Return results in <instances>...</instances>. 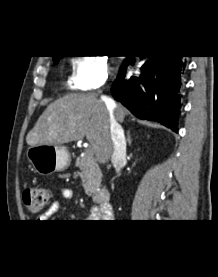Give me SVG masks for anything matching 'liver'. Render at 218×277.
I'll use <instances>...</instances> for the list:
<instances>
[{"instance_id":"1","label":"liver","mask_w":218,"mask_h":277,"mask_svg":"<svg viewBox=\"0 0 218 277\" xmlns=\"http://www.w3.org/2000/svg\"><path fill=\"white\" fill-rule=\"evenodd\" d=\"M120 121L128 115L121 104H116ZM86 136L96 155L104 164L112 156L113 143L107 106L93 94H69L51 103L28 133L30 146L39 144L62 145Z\"/></svg>"}]
</instances>
